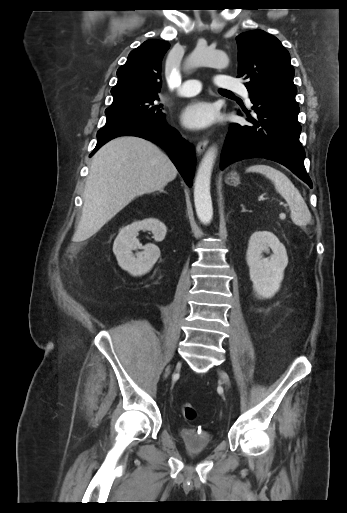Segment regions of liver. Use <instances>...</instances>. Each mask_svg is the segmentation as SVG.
I'll return each instance as SVG.
<instances>
[{
  "label": "liver",
  "mask_w": 347,
  "mask_h": 513,
  "mask_svg": "<svg viewBox=\"0 0 347 513\" xmlns=\"http://www.w3.org/2000/svg\"><path fill=\"white\" fill-rule=\"evenodd\" d=\"M176 175L174 164L152 142L136 136L110 140L92 158L74 238H90L134 198L162 190Z\"/></svg>",
  "instance_id": "liver-1"
}]
</instances>
